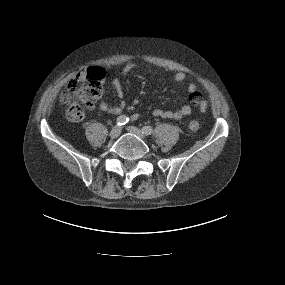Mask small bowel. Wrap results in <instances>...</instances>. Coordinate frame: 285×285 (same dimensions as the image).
Wrapping results in <instances>:
<instances>
[{"mask_svg":"<svg viewBox=\"0 0 285 285\" xmlns=\"http://www.w3.org/2000/svg\"><path fill=\"white\" fill-rule=\"evenodd\" d=\"M136 67V63L130 62L126 64L121 72L122 78H126L130 72ZM170 80L176 84H184L186 82V75L183 72H177L171 74L169 76ZM113 87L118 95L119 98H123L124 92L121 85V80L119 78H114L112 80ZM187 91L189 94V100L193 105H196L200 108L201 111H205L207 107V103L205 100L202 99L201 93L197 88L196 84L193 82L188 83ZM125 107V102L122 101L118 105H110L107 102H101L99 105L100 110L106 112L111 115H118L122 112ZM191 106L190 105H183L176 110H164L161 108H156L153 110L152 114L155 117L165 118V119H172V120H179L183 117H186L191 114ZM138 118V114H134L132 119L135 120Z\"/></svg>","mask_w":285,"mask_h":285,"instance_id":"1","label":"small bowel"}]
</instances>
